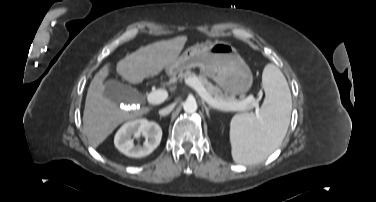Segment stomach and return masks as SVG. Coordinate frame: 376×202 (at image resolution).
<instances>
[{
  "label": "stomach",
  "mask_w": 376,
  "mask_h": 202,
  "mask_svg": "<svg viewBox=\"0 0 376 202\" xmlns=\"http://www.w3.org/2000/svg\"><path fill=\"white\" fill-rule=\"evenodd\" d=\"M194 67H199L228 94L244 93L252 83L249 66L226 41H207L189 47L166 67V73L175 78L177 74Z\"/></svg>",
  "instance_id": "0dacf381"
}]
</instances>
